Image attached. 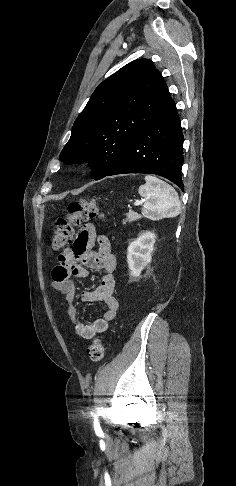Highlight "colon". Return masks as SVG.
<instances>
[{
  "label": "colon",
  "instance_id": "colon-1",
  "mask_svg": "<svg viewBox=\"0 0 236 486\" xmlns=\"http://www.w3.org/2000/svg\"><path fill=\"white\" fill-rule=\"evenodd\" d=\"M101 217L100 209L94 200H78L68 207L67 216L58 219L52 238V246L58 250L68 246L74 237L75 228L90 219ZM93 362H100L104 356L102 340L96 338L88 349Z\"/></svg>",
  "mask_w": 236,
  "mask_h": 486
}]
</instances>
